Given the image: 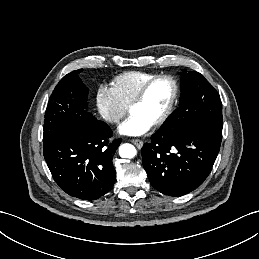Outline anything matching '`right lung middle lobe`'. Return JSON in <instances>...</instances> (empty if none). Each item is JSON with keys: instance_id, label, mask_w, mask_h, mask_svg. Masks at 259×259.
Masks as SVG:
<instances>
[{"instance_id": "right-lung-middle-lobe-1", "label": "right lung middle lobe", "mask_w": 259, "mask_h": 259, "mask_svg": "<svg viewBox=\"0 0 259 259\" xmlns=\"http://www.w3.org/2000/svg\"><path fill=\"white\" fill-rule=\"evenodd\" d=\"M81 71L64 76L53 90L45 112L44 139L60 125L85 127L96 121L87 111L88 89L78 76Z\"/></svg>"}]
</instances>
